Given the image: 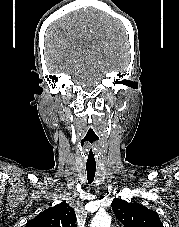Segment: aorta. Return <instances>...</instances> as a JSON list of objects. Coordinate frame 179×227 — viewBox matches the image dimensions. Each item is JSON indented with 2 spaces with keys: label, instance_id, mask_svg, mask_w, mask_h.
Segmentation results:
<instances>
[{
  "label": "aorta",
  "instance_id": "obj_1",
  "mask_svg": "<svg viewBox=\"0 0 179 227\" xmlns=\"http://www.w3.org/2000/svg\"><path fill=\"white\" fill-rule=\"evenodd\" d=\"M111 216L106 212H98L91 221L90 227H110Z\"/></svg>",
  "mask_w": 179,
  "mask_h": 227
}]
</instances>
